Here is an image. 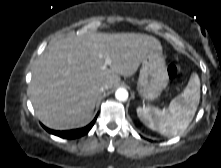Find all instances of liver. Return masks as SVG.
<instances>
[{
	"label": "liver",
	"instance_id": "obj_1",
	"mask_svg": "<svg viewBox=\"0 0 221 168\" xmlns=\"http://www.w3.org/2000/svg\"><path fill=\"white\" fill-rule=\"evenodd\" d=\"M152 52H162L159 40L139 33H90L54 42L32 70L29 93L36 116L55 130L85 126L100 87H116L120 75H133ZM104 55L111 58L110 68H102Z\"/></svg>",
	"mask_w": 221,
	"mask_h": 168
}]
</instances>
